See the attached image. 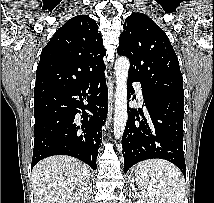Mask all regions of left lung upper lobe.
Listing matches in <instances>:
<instances>
[{
  "instance_id": "1",
  "label": "left lung upper lobe",
  "mask_w": 214,
  "mask_h": 203,
  "mask_svg": "<svg viewBox=\"0 0 214 203\" xmlns=\"http://www.w3.org/2000/svg\"><path fill=\"white\" fill-rule=\"evenodd\" d=\"M123 28L117 52L130 60L128 77L144 89L184 97L179 61L165 32L147 15L135 12Z\"/></svg>"
}]
</instances>
